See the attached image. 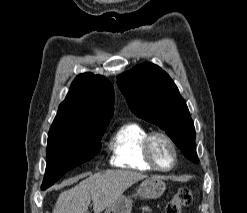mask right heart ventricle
<instances>
[{
    "label": "right heart ventricle",
    "mask_w": 247,
    "mask_h": 213,
    "mask_svg": "<svg viewBox=\"0 0 247 213\" xmlns=\"http://www.w3.org/2000/svg\"><path fill=\"white\" fill-rule=\"evenodd\" d=\"M148 134L149 131L137 122L120 125L109 142L111 163L116 167L136 171L155 170L143 153V143Z\"/></svg>",
    "instance_id": "obj_1"
}]
</instances>
